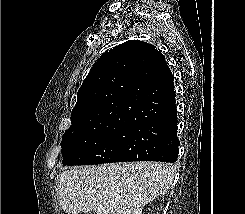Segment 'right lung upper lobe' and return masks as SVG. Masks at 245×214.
Instances as JSON below:
<instances>
[{"label":"right lung upper lobe","mask_w":245,"mask_h":214,"mask_svg":"<svg viewBox=\"0 0 245 214\" xmlns=\"http://www.w3.org/2000/svg\"><path fill=\"white\" fill-rule=\"evenodd\" d=\"M167 64L154 45L129 40L106 51L83 81L67 131L129 125L141 112L138 98L166 84Z\"/></svg>","instance_id":"cb5924a9"}]
</instances>
